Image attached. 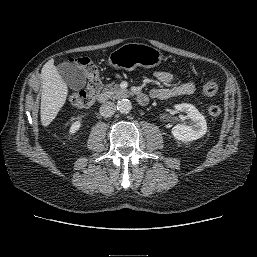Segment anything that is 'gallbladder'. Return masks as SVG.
<instances>
[{
	"label": "gallbladder",
	"mask_w": 257,
	"mask_h": 257,
	"mask_svg": "<svg viewBox=\"0 0 257 257\" xmlns=\"http://www.w3.org/2000/svg\"><path fill=\"white\" fill-rule=\"evenodd\" d=\"M57 70L72 90H80L86 85L85 72L78 64L63 62L57 66Z\"/></svg>",
	"instance_id": "obj_1"
}]
</instances>
